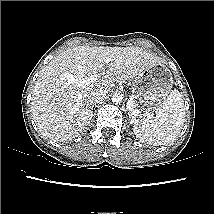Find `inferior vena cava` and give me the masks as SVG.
<instances>
[{"label": "inferior vena cava", "instance_id": "602c4592", "mask_svg": "<svg viewBox=\"0 0 214 214\" xmlns=\"http://www.w3.org/2000/svg\"><path fill=\"white\" fill-rule=\"evenodd\" d=\"M107 94H108V90L106 88H99L91 94L90 101L92 103H98L104 100Z\"/></svg>", "mask_w": 214, "mask_h": 214}]
</instances>
